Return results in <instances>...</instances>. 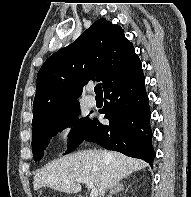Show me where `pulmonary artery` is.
<instances>
[{"label": "pulmonary artery", "mask_w": 191, "mask_h": 197, "mask_svg": "<svg viewBox=\"0 0 191 197\" xmlns=\"http://www.w3.org/2000/svg\"><path fill=\"white\" fill-rule=\"evenodd\" d=\"M88 91L91 92L92 91V87L89 86L88 87ZM86 103L90 106V107H94L96 105V99L93 95L88 94L86 96Z\"/></svg>", "instance_id": "obj_1"}]
</instances>
